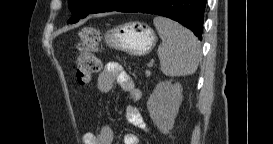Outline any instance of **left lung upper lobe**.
Here are the masks:
<instances>
[{
    "label": "left lung upper lobe",
    "instance_id": "obj_1",
    "mask_svg": "<svg viewBox=\"0 0 273 144\" xmlns=\"http://www.w3.org/2000/svg\"><path fill=\"white\" fill-rule=\"evenodd\" d=\"M97 0H69V9L72 12L71 18H81L95 9Z\"/></svg>",
    "mask_w": 273,
    "mask_h": 144
}]
</instances>
